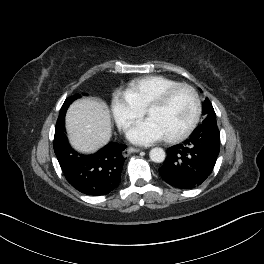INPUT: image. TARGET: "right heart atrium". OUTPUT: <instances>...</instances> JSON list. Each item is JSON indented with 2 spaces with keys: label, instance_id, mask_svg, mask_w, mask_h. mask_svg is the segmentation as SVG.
Wrapping results in <instances>:
<instances>
[{
  "label": "right heart atrium",
  "instance_id": "1",
  "mask_svg": "<svg viewBox=\"0 0 264 264\" xmlns=\"http://www.w3.org/2000/svg\"><path fill=\"white\" fill-rule=\"evenodd\" d=\"M111 110L117 126L127 129L136 119L144 114L126 93L116 92L111 101Z\"/></svg>",
  "mask_w": 264,
  "mask_h": 264
}]
</instances>
